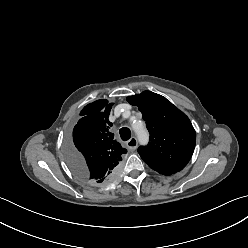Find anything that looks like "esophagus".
<instances>
[{
  "label": "esophagus",
  "instance_id": "1",
  "mask_svg": "<svg viewBox=\"0 0 248 248\" xmlns=\"http://www.w3.org/2000/svg\"><path fill=\"white\" fill-rule=\"evenodd\" d=\"M127 147L131 150L134 151L137 146H138V140L136 137H132L130 138L127 143H126Z\"/></svg>",
  "mask_w": 248,
  "mask_h": 248
}]
</instances>
